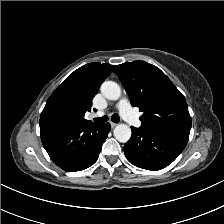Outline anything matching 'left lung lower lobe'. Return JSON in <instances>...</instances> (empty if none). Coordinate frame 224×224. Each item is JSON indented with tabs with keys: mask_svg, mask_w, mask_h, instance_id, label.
<instances>
[{
	"mask_svg": "<svg viewBox=\"0 0 224 224\" xmlns=\"http://www.w3.org/2000/svg\"><path fill=\"white\" fill-rule=\"evenodd\" d=\"M188 140L166 132L132 127V136L124 145L127 160L146 170H160L171 164Z\"/></svg>",
	"mask_w": 224,
	"mask_h": 224,
	"instance_id": "left-lung-lower-lobe-1",
	"label": "left lung lower lobe"
}]
</instances>
